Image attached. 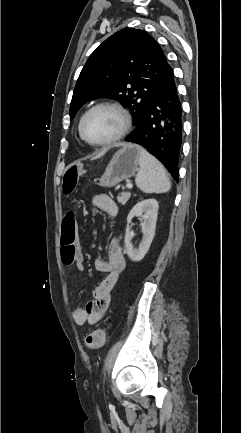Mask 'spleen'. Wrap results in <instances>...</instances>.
Instances as JSON below:
<instances>
[{
  "instance_id": "3e777b00",
  "label": "spleen",
  "mask_w": 241,
  "mask_h": 433,
  "mask_svg": "<svg viewBox=\"0 0 241 433\" xmlns=\"http://www.w3.org/2000/svg\"><path fill=\"white\" fill-rule=\"evenodd\" d=\"M139 166L135 182L142 192L160 194L171 189V182L163 165L143 148L140 149Z\"/></svg>"
}]
</instances>
